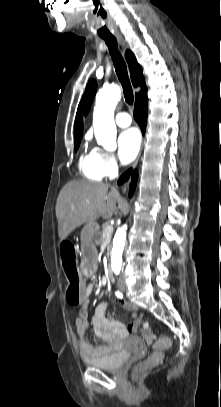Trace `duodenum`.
<instances>
[{
    "mask_svg": "<svg viewBox=\"0 0 221 407\" xmlns=\"http://www.w3.org/2000/svg\"><path fill=\"white\" fill-rule=\"evenodd\" d=\"M106 275L109 280H113V272H112V269L110 268V266H108L106 269Z\"/></svg>",
    "mask_w": 221,
    "mask_h": 407,
    "instance_id": "410a0bca",
    "label": "duodenum"
}]
</instances>
